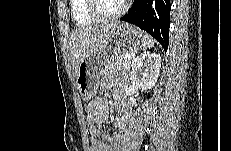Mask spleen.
<instances>
[{"mask_svg":"<svg viewBox=\"0 0 231 151\" xmlns=\"http://www.w3.org/2000/svg\"><path fill=\"white\" fill-rule=\"evenodd\" d=\"M154 44L153 39L147 34H144V46L147 48H151Z\"/></svg>","mask_w":231,"mask_h":151,"instance_id":"1","label":"spleen"}]
</instances>
